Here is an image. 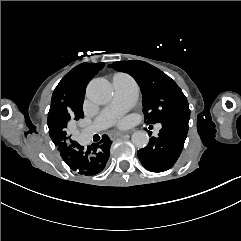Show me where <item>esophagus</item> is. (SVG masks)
<instances>
[{"instance_id": "obj_1", "label": "esophagus", "mask_w": 241, "mask_h": 241, "mask_svg": "<svg viewBox=\"0 0 241 241\" xmlns=\"http://www.w3.org/2000/svg\"><path fill=\"white\" fill-rule=\"evenodd\" d=\"M125 134V132H112L109 134V136L111 139H116L118 137L124 136Z\"/></svg>"}]
</instances>
